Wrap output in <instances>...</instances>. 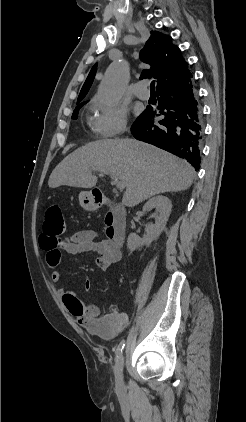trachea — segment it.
I'll use <instances>...</instances> for the list:
<instances>
[{
	"mask_svg": "<svg viewBox=\"0 0 246 422\" xmlns=\"http://www.w3.org/2000/svg\"><path fill=\"white\" fill-rule=\"evenodd\" d=\"M150 89L155 90V81L154 80L150 84Z\"/></svg>",
	"mask_w": 246,
	"mask_h": 422,
	"instance_id": "1",
	"label": "trachea"
}]
</instances>
